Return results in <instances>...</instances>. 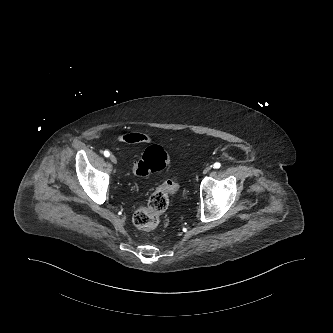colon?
I'll return each mask as SVG.
<instances>
[{"label": "colon", "mask_w": 333, "mask_h": 333, "mask_svg": "<svg viewBox=\"0 0 333 333\" xmlns=\"http://www.w3.org/2000/svg\"><path fill=\"white\" fill-rule=\"evenodd\" d=\"M168 164V155L159 145L149 146L142 157L136 160L133 171L137 176L164 169ZM179 185L173 180H167L161 184L149 197L147 205L137 209L133 215L135 226L141 230H152L157 227L161 215L167 210L169 196L177 193Z\"/></svg>", "instance_id": "5ec220e1"}]
</instances>
